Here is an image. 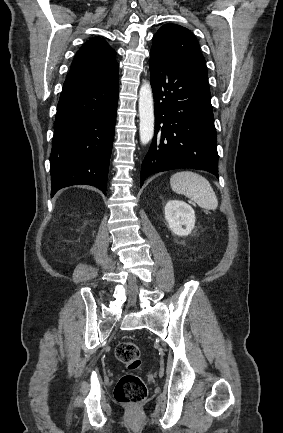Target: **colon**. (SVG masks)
I'll list each match as a JSON object with an SVG mask.
<instances>
[{
  "mask_svg": "<svg viewBox=\"0 0 283 433\" xmlns=\"http://www.w3.org/2000/svg\"><path fill=\"white\" fill-rule=\"evenodd\" d=\"M115 356L130 371L119 379L114 390L115 399L123 404L137 405L147 395L146 385L139 375L141 352L135 343L124 341L117 345Z\"/></svg>",
  "mask_w": 283,
  "mask_h": 433,
  "instance_id": "obj_1",
  "label": "colon"
}]
</instances>
